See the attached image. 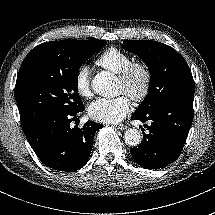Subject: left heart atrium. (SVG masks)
Here are the masks:
<instances>
[{"mask_svg":"<svg viewBox=\"0 0 215 215\" xmlns=\"http://www.w3.org/2000/svg\"><path fill=\"white\" fill-rule=\"evenodd\" d=\"M131 111V100L127 95L116 98H98L88 109L89 116L102 123H117Z\"/></svg>","mask_w":215,"mask_h":215,"instance_id":"39dd6f15","label":"left heart atrium"}]
</instances>
